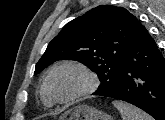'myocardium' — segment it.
<instances>
[{
  "label": "myocardium",
  "instance_id": "f54148a6",
  "mask_svg": "<svg viewBox=\"0 0 165 120\" xmlns=\"http://www.w3.org/2000/svg\"><path fill=\"white\" fill-rule=\"evenodd\" d=\"M63 68H75V69H78L79 71H81L87 78V85L81 91L77 92L76 94H74L68 98L62 99V98H57L52 93V91L50 89V79L56 71L63 69ZM98 85H99V80H98V77L95 74V72L93 70H91L84 63H81L78 61H73V60L62 61V62L54 65L48 71V73L44 79V82H43V87H44V90H45L47 96L50 98V100L53 103H59V104H67V103L77 101L81 98H84V97L92 94L93 92H95Z\"/></svg>",
  "mask_w": 165,
  "mask_h": 120
}]
</instances>
